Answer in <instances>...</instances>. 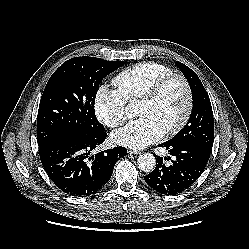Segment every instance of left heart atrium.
<instances>
[{"label":"left heart atrium","instance_id":"39dd6f15","mask_svg":"<svg viewBox=\"0 0 249 249\" xmlns=\"http://www.w3.org/2000/svg\"><path fill=\"white\" fill-rule=\"evenodd\" d=\"M165 130L151 116H143L112 134L114 143L133 149H142L163 137Z\"/></svg>","mask_w":249,"mask_h":249}]
</instances>
